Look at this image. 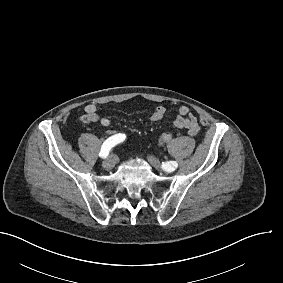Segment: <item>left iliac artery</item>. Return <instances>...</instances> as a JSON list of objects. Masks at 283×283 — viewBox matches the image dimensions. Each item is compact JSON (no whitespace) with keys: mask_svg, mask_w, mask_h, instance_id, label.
<instances>
[{"mask_svg":"<svg viewBox=\"0 0 283 283\" xmlns=\"http://www.w3.org/2000/svg\"><path fill=\"white\" fill-rule=\"evenodd\" d=\"M170 164L173 167V170H174V168H177V166H178L177 162H175V161H171ZM167 166L168 165H163V167H167Z\"/></svg>","mask_w":283,"mask_h":283,"instance_id":"44dca946","label":"left iliac artery"}]
</instances>
